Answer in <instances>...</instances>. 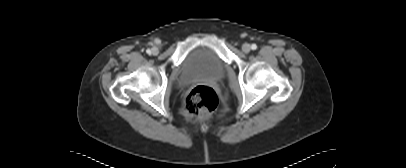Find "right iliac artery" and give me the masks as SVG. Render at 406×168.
I'll return each instance as SVG.
<instances>
[{
    "label": "right iliac artery",
    "instance_id": "82829eb1",
    "mask_svg": "<svg viewBox=\"0 0 406 168\" xmlns=\"http://www.w3.org/2000/svg\"><path fill=\"white\" fill-rule=\"evenodd\" d=\"M146 52H147L148 54H150V53H151L150 49H147V50H146Z\"/></svg>",
    "mask_w": 406,
    "mask_h": 168
}]
</instances>
